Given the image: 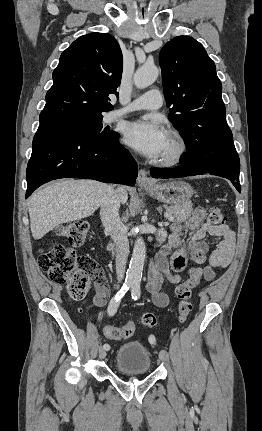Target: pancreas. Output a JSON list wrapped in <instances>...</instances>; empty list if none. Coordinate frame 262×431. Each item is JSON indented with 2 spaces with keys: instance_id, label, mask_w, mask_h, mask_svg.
I'll return each mask as SVG.
<instances>
[{
  "instance_id": "pancreas-1",
  "label": "pancreas",
  "mask_w": 262,
  "mask_h": 431,
  "mask_svg": "<svg viewBox=\"0 0 262 431\" xmlns=\"http://www.w3.org/2000/svg\"><path fill=\"white\" fill-rule=\"evenodd\" d=\"M166 216H174L175 222H183L191 215V206H169L166 207Z\"/></svg>"
}]
</instances>
